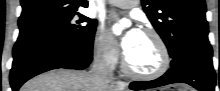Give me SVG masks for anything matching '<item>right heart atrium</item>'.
Masks as SVG:
<instances>
[{"label": "right heart atrium", "mask_w": 220, "mask_h": 91, "mask_svg": "<svg viewBox=\"0 0 220 91\" xmlns=\"http://www.w3.org/2000/svg\"><path fill=\"white\" fill-rule=\"evenodd\" d=\"M92 48L97 59L107 67L116 65L119 50L113 37L103 28H98L94 34Z\"/></svg>", "instance_id": "obj_1"}]
</instances>
